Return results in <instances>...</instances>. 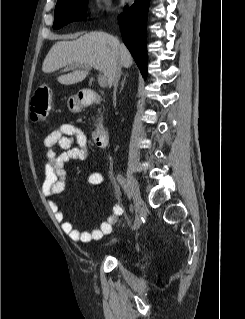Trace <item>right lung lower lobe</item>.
Returning a JSON list of instances; mask_svg holds the SVG:
<instances>
[{
	"label": "right lung lower lobe",
	"instance_id": "right-lung-lower-lobe-1",
	"mask_svg": "<svg viewBox=\"0 0 245 319\" xmlns=\"http://www.w3.org/2000/svg\"><path fill=\"white\" fill-rule=\"evenodd\" d=\"M150 0H135L118 16L122 38L144 78L147 75L146 23Z\"/></svg>",
	"mask_w": 245,
	"mask_h": 319
}]
</instances>
